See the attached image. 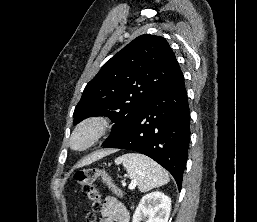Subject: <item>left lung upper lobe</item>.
Returning <instances> with one entry per match:
<instances>
[{"label":"left lung upper lobe","mask_w":257,"mask_h":222,"mask_svg":"<svg viewBox=\"0 0 257 222\" xmlns=\"http://www.w3.org/2000/svg\"><path fill=\"white\" fill-rule=\"evenodd\" d=\"M179 69L163 37L147 34L137 37L109 59L86 85L75 107L74 124L90 116L110 117L115 124L104 146L137 117Z\"/></svg>","instance_id":"obj_1"}]
</instances>
